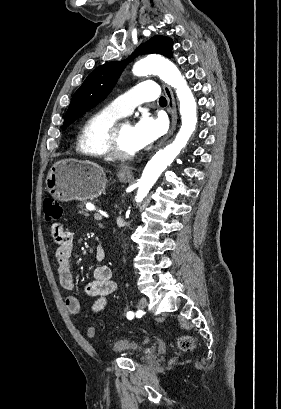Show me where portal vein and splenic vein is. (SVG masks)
Wrapping results in <instances>:
<instances>
[{
    "instance_id": "18ae733b",
    "label": "portal vein and splenic vein",
    "mask_w": 281,
    "mask_h": 409,
    "mask_svg": "<svg viewBox=\"0 0 281 409\" xmlns=\"http://www.w3.org/2000/svg\"><path fill=\"white\" fill-rule=\"evenodd\" d=\"M95 202V201H94ZM94 216H95V219H97V221H101V218L102 217H99L100 215H99V212L98 211H95L94 212Z\"/></svg>"
}]
</instances>
